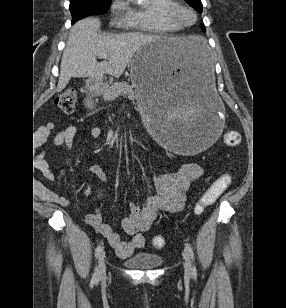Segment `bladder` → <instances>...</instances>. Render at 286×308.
Here are the masks:
<instances>
[{
    "mask_svg": "<svg viewBox=\"0 0 286 308\" xmlns=\"http://www.w3.org/2000/svg\"><path fill=\"white\" fill-rule=\"evenodd\" d=\"M162 257L158 254H152L145 251L137 252L125 260V264L132 269H154L160 266Z\"/></svg>",
    "mask_w": 286,
    "mask_h": 308,
    "instance_id": "31cf9c89",
    "label": "bladder"
}]
</instances>
